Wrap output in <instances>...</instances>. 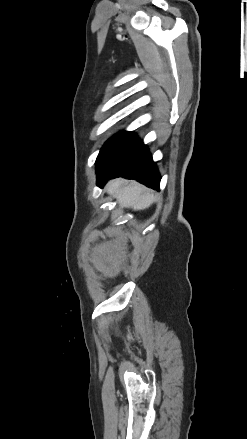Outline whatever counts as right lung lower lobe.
<instances>
[{
	"label": "right lung lower lobe",
	"instance_id": "98d812e1",
	"mask_svg": "<svg viewBox=\"0 0 247 439\" xmlns=\"http://www.w3.org/2000/svg\"><path fill=\"white\" fill-rule=\"evenodd\" d=\"M97 184L103 186L108 179L124 177L159 189L160 174L148 147L134 137L126 145L114 151L96 168Z\"/></svg>",
	"mask_w": 247,
	"mask_h": 439
}]
</instances>
